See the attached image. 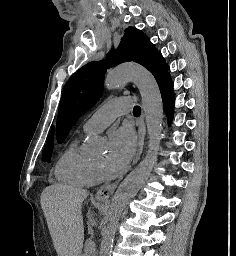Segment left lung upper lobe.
I'll use <instances>...</instances> for the list:
<instances>
[{
	"label": "left lung upper lobe",
	"instance_id": "1",
	"mask_svg": "<svg viewBox=\"0 0 236 256\" xmlns=\"http://www.w3.org/2000/svg\"><path fill=\"white\" fill-rule=\"evenodd\" d=\"M126 61L143 65L154 75L156 81L168 73L164 58L148 37L142 31L128 27L116 52L109 53L105 60L84 65L65 85L56 125L58 143L65 140L80 116L101 97L106 69Z\"/></svg>",
	"mask_w": 236,
	"mask_h": 256
}]
</instances>
